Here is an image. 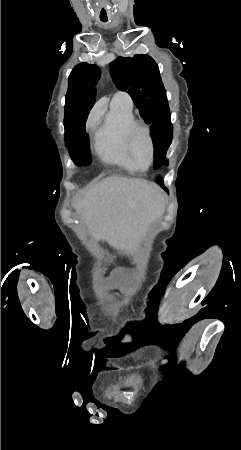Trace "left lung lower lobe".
<instances>
[{
  "instance_id": "1",
  "label": "left lung lower lobe",
  "mask_w": 241,
  "mask_h": 450,
  "mask_svg": "<svg viewBox=\"0 0 241 450\" xmlns=\"http://www.w3.org/2000/svg\"><path fill=\"white\" fill-rule=\"evenodd\" d=\"M154 169H156V168H154ZM157 182H158L161 186H163V180H162L161 178H158V179H157Z\"/></svg>"
}]
</instances>
